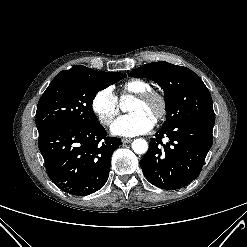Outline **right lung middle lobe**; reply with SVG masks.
Here are the masks:
<instances>
[{
  "mask_svg": "<svg viewBox=\"0 0 247 247\" xmlns=\"http://www.w3.org/2000/svg\"><path fill=\"white\" fill-rule=\"evenodd\" d=\"M123 78L119 72L98 74L74 67L61 71L38 102V132L62 125L98 124L92 108L93 99L100 90Z\"/></svg>",
  "mask_w": 247,
  "mask_h": 247,
  "instance_id": "right-lung-middle-lobe-1",
  "label": "right lung middle lobe"
}]
</instances>
